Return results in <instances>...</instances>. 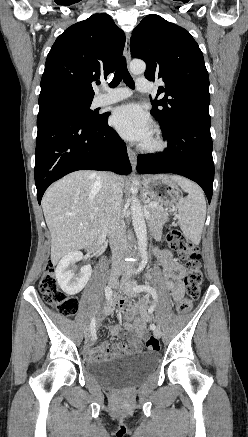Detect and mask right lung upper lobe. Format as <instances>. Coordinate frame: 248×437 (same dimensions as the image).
Masks as SVG:
<instances>
[{
	"instance_id": "right-lung-upper-lobe-1",
	"label": "right lung upper lobe",
	"mask_w": 248,
	"mask_h": 437,
	"mask_svg": "<svg viewBox=\"0 0 248 437\" xmlns=\"http://www.w3.org/2000/svg\"><path fill=\"white\" fill-rule=\"evenodd\" d=\"M124 45V32L107 14L70 26L47 56L40 95L67 92L93 98L92 82L115 70Z\"/></svg>"
}]
</instances>
